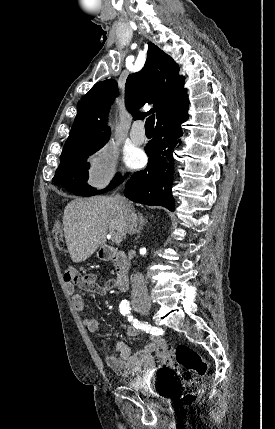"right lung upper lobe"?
Segmentation results:
<instances>
[{"label": "right lung upper lobe", "instance_id": "1", "mask_svg": "<svg viewBox=\"0 0 275 429\" xmlns=\"http://www.w3.org/2000/svg\"><path fill=\"white\" fill-rule=\"evenodd\" d=\"M184 77L173 59L156 45L148 43L143 69L130 74L125 84V102L134 119L156 112L157 125L187 114L189 100L183 88ZM117 94L115 80L96 83L82 98L61 159L100 149L109 140L106 127L109 107ZM155 103L146 113H136L144 103ZM156 125V126H157Z\"/></svg>", "mask_w": 275, "mask_h": 429}]
</instances>
